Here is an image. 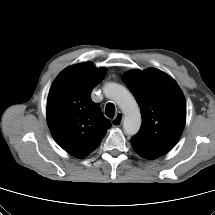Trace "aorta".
<instances>
[{
	"label": "aorta",
	"mask_w": 215,
	"mask_h": 215,
	"mask_svg": "<svg viewBox=\"0 0 215 215\" xmlns=\"http://www.w3.org/2000/svg\"><path fill=\"white\" fill-rule=\"evenodd\" d=\"M106 97L115 101L124 113L123 129L128 135L136 134L141 126V113L134 96L122 85L108 83L104 87Z\"/></svg>",
	"instance_id": "1"
}]
</instances>
